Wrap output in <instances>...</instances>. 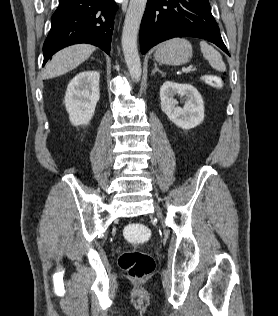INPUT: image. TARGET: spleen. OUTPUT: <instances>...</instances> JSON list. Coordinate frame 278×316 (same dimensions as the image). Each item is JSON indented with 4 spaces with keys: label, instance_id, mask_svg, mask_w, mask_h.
I'll return each mask as SVG.
<instances>
[{
    "label": "spleen",
    "instance_id": "spleen-1",
    "mask_svg": "<svg viewBox=\"0 0 278 316\" xmlns=\"http://www.w3.org/2000/svg\"><path fill=\"white\" fill-rule=\"evenodd\" d=\"M200 48L203 56L209 61V64L216 70L224 72L226 66L222 60L220 53L205 41L200 43Z\"/></svg>",
    "mask_w": 278,
    "mask_h": 316
}]
</instances>
